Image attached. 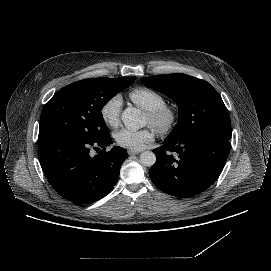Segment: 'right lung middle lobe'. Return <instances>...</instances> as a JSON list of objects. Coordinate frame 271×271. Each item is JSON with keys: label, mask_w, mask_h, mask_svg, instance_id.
Masks as SVG:
<instances>
[{"label": "right lung middle lobe", "mask_w": 271, "mask_h": 271, "mask_svg": "<svg viewBox=\"0 0 271 271\" xmlns=\"http://www.w3.org/2000/svg\"><path fill=\"white\" fill-rule=\"evenodd\" d=\"M136 77L85 79L59 90L44 106L39 138L71 135L96 141L109 134L101 109Z\"/></svg>", "instance_id": "right-lung-middle-lobe-1"}]
</instances>
